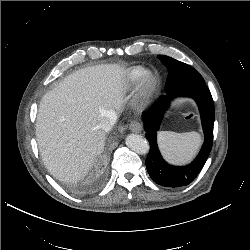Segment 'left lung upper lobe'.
Wrapping results in <instances>:
<instances>
[{
    "mask_svg": "<svg viewBox=\"0 0 250 250\" xmlns=\"http://www.w3.org/2000/svg\"><path fill=\"white\" fill-rule=\"evenodd\" d=\"M158 58L168 68L165 92H170L193 84L205 83L202 76L190 65L165 55Z\"/></svg>",
    "mask_w": 250,
    "mask_h": 250,
    "instance_id": "left-lung-upper-lobe-1",
    "label": "left lung upper lobe"
}]
</instances>
